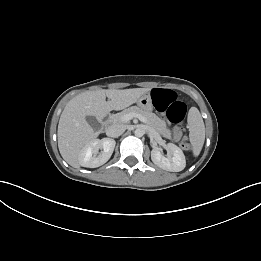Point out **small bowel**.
Instances as JSON below:
<instances>
[{"label": "small bowel", "mask_w": 261, "mask_h": 261, "mask_svg": "<svg viewBox=\"0 0 261 261\" xmlns=\"http://www.w3.org/2000/svg\"><path fill=\"white\" fill-rule=\"evenodd\" d=\"M173 136H174L175 140H180L181 139V132L178 129H174Z\"/></svg>", "instance_id": "small-bowel-1"}]
</instances>
